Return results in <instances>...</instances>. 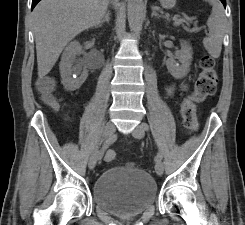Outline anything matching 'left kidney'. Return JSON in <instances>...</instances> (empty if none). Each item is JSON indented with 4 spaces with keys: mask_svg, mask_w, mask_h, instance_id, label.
Instances as JSON below:
<instances>
[{
    "mask_svg": "<svg viewBox=\"0 0 245 225\" xmlns=\"http://www.w3.org/2000/svg\"><path fill=\"white\" fill-rule=\"evenodd\" d=\"M192 48L186 41H181V49L166 61L169 73L176 79L184 78L190 71Z\"/></svg>",
    "mask_w": 245,
    "mask_h": 225,
    "instance_id": "1",
    "label": "left kidney"
}]
</instances>
